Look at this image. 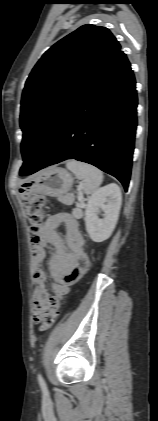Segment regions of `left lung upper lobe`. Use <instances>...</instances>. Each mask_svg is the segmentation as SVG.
<instances>
[{
	"instance_id": "5c2ea615",
	"label": "left lung upper lobe",
	"mask_w": 158,
	"mask_h": 421,
	"mask_svg": "<svg viewBox=\"0 0 158 421\" xmlns=\"http://www.w3.org/2000/svg\"><path fill=\"white\" fill-rule=\"evenodd\" d=\"M120 48L107 28L87 24L43 54L22 94L20 173L34 167L65 112Z\"/></svg>"
}]
</instances>
